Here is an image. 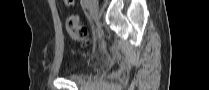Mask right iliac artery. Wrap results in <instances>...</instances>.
Returning <instances> with one entry per match:
<instances>
[{
  "instance_id": "right-iliac-artery-1",
  "label": "right iliac artery",
  "mask_w": 209,
  "mask_h": 90,
  "mask_svg": "<svg viewBox=\"0 0 209 90\" xmlns=\"http://www.w3.org/2000/svg\"><path fill=\"white\" fill-rule=\"evenodd\" d=\"M81 5H82V8H83V9H87V8H88V1H87V0H83V1L81 2Z\"/></svg>"
}]
</instances>
